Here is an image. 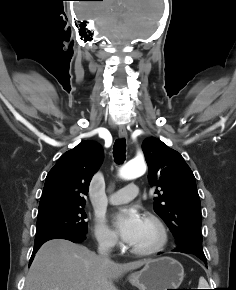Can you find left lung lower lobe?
<instances>
[{"instance_id": "1", "label": "left lung lower lobe", "mask_w": 236, "mask_h": 290, "mask_svg": "<svg viewBox=\"0 0 236 290\" xmlns=\"http://www.w3.org/2000/svg\"><path fill=\"white\" fill-rule=\"evenodd\" d=\"M174 251H176V252H182V253H191V252H189V251H186V250H183V249H175ZM191 254H193V253H191ZM195 255V254H194ZM195 256H197V255H195ZM198 257V256H197ZM199 259H201L206 265H207V260L206 259H204V258H201V257H198Z\"/></svg>"}]
</instances>
